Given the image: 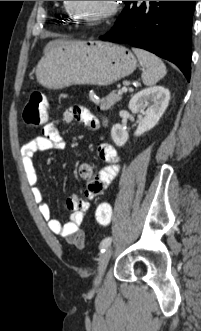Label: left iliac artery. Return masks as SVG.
<instances>
[{
	"instance_id": "obj_1",
	"label": "left iliac artery",
	"mask_w": 201,
	"mask_h": 331,
	"mask_svg": "<svg viewBox=\"0 0 201 331\" xmlns=\"http://www.w3.org/2000/svg\"><path fill=\"white\" fill-rule=\"evenodd\" d=\"M112 238L111 237H107L105 238L101 245H100V250L103 253L105 251V249L111 244Z\"/></svg>"
}]
</instances>
